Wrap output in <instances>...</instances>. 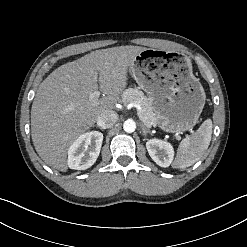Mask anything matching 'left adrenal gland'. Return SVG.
<instances>
[{
    "label": "left adrenal gland",
    "mask_w": 247,
    "mask_h": 247,
    "mask_svg": "<svg viewBox=\"0 0 247 247\" xmlns=\"http://www.w3.org/2000/svg\"><path fill=\"white\" fill-rule=\"evenodd\" d=\"M140 126H141V129H142V134L144 136H146L147 133L152 134L151 131L147 127H145L143 123H141Z\"/></svg>",
    "instance_id": "left-adrenal-gland-1"
}]
</instances>
